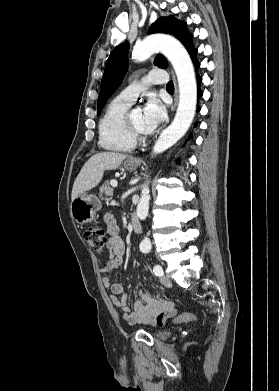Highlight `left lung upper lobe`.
<instances>
[{
	"label": "left lung upper lobe",
	"instance_id": "obj_1",
	"mask_svg": "<svg viewBox=\"0 0 279 391\" xmlns=\"http://www.w3.org/2000/svg\"><path fill=\"white\" fill-rule=\"evenodd\" d=\"M148 33L174 35L186 47L189 54L195 49L192 44L193 35L188 32L186 23L174 18V16L160 17L151 25ZM129 48L128 42L115 47L106 62L98 98V115H100L108 98L123 81L128 68L127 55ZM154 64L160 68L167 67V61L162 55L155 58Z\"/></svg>",
	"mask_w": 279,
	"mask_h": 391
}]
</instances>
